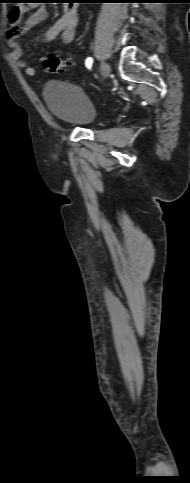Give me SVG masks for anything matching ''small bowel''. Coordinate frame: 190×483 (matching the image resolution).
<instances>
[{"label": "small bowel", "instance_id": "c3829d8e", "mask_svg": "<svg viewBox=\"0 0 190 483\" xmlns=\"http://www.w3.org/2000/svg\"><path fill=\"white\" fill-rule=\"evenodd\" d=\"M47 15L48 11L45 6H33L32 4L14 7L8 14L6 36L7 44L11 49L9 57L14 64L22 67L28 76L35 75L36 69L23 58V51L18 39L28 30L44 21ZM77 25V6L73 2H69L64 6L62 16L43 33L42 40L52 42L60 37L64 44H70L75 38Z\"/></svg>", "mask_w": 190, "mask_h": 483}]
</instances>
